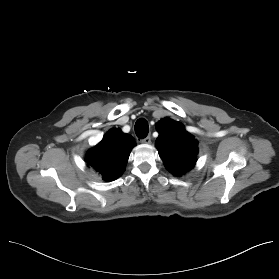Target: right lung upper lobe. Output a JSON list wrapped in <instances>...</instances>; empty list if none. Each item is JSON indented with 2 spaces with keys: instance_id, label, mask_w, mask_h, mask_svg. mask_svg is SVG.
<instances>
[{
  "instance_id": "cb5924a9",
  "label": "right lung upper lobe",
  "mask_w": 279,
  "mask_h": 279,
  "mask_svg": "<svg viewBox=\"0 0 279 279\" xmlns=\"http://www.w3.org/2000/svg\"><path fill=\"white\" fill-rule=\"evenodd\" d=\"M135 144L132 136L120 129H111L100 143L87 152L86 161L105 181H113L123 173Z\"/></svg>"
}]
</instances>
